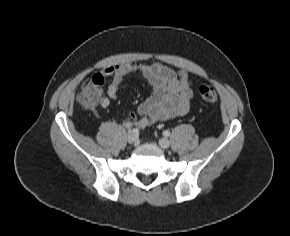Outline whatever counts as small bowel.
I'll return each instance as SVG.
<instances>
[{
    "label": "small bowel",
    "mask_w": 290,
    "mask_h": 236,
    "mask_svg": "<svg viewBox=\"0 0 290 236\" xmlns=\"http://www.w3.org/2000/svg\"><path fill=\"white\" fill-rule=\"evenodd\" d=\"M141 75L152 87L151 95L135 112H129L125 125L146 127L157 122L187 114L191 109L192 82L185 71L175 70L162 63L128 62L109 66L93 75L95 79H109L106 92L101 91L98 106L109 107L118 98L124 80L131 75Z\"/></svg>",
    "instance_id": "small-bowel-1"
}]
</instances>
